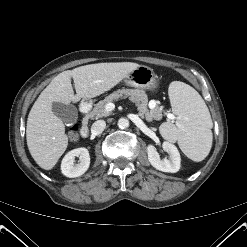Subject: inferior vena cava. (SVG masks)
Wrapping results in <instances>:
<instances>
[{
	"mask_svg": "<svg viewBox=\"0 0 247 247\" xmlns=\"http://www.w3.org/2000/svg\"><path fill=\"white\" fill-rule=\"evenodd\" d=\"M106 127V122L104 120L95 121L91 126V133L94 135L101 134Z\"/></svg>",
	"mask_w": 247,
	"mask_h": 247,
	"instance_id": "obj_1",
	"label": "inferior vena cava"
}]
</instances>
